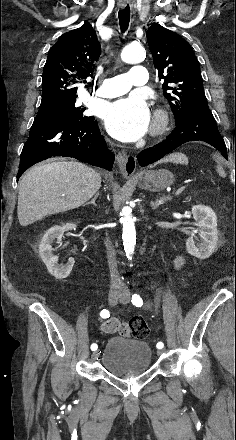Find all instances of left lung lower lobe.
Returning a JSON list of instances; mask_svg holds the SVG:
<instances>
[{
  "label": "left lung lower lobe",
  "instance_id": "1",
  "mask_svg": "<svg viewBox=\"0 0 236 440\" xmlns=\"http://www.w3.org/2000/svg\"><path fill=\"white\" fill-rule=\"evenodd\" d=\"M189 141H205L228 159L227 149L208 104L192 107L175 129L161 143L143 150L137 155L140 166H147Z\"/></svg>",
  "mask_w": 236,
  "mask_h": 440
}]
</instances>
